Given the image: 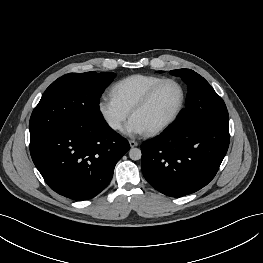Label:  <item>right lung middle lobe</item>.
<instances>
[{
  "mask_svg": "<svg viewBox=\"0 0 263 263\" xmlns=\"http://www.w3.org/2000/svg\"><path fill=\"white\" fill-rule=\"evenodd\" d=\"M114 73H69L55 80L32 112L30 141L65 126L103 121L99 98Z\"/></svg>",
  "mask_w": 263,
  "mask_h": 263,
  "instance_id": "right-lung-middle-lobe-1",
  "label": "right lung middle lobe"
}]
</instances>
